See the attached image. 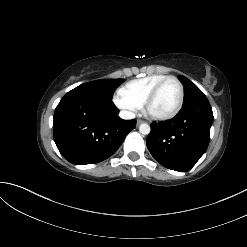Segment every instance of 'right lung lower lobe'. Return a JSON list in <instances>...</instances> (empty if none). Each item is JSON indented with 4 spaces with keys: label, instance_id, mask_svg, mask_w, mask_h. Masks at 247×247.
Instances as JSON below:
<instances>
[{
    "label": "right lung lower lobe",
    "instance_id": "1",
    "mask_svg": "<svg viewBox=\"0 0 247 247\" xmlns=\"http://www.w3.org/2000/svg\"><path fill=\"white\" fill-rule=\"evenodd\" d=\"M111 100L67 93L55 109L53 138L61 155L76 165L101 162L120 147L136 120H123Z\"/></svg>",
    "mask_w": 247,
    "mask_h": 247
}]
</instances>
